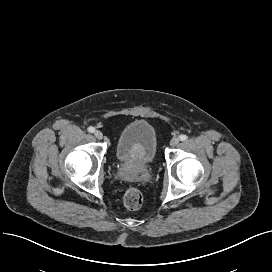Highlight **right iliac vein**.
Returning a JSON list of instances; mask_svg holds the SVG:
<instances>
[{
    "instance_id": "obj_1",
    "label": "right iliac vein",
    "mask_w": 272,
    "mask_h": 272,
    "mask_svg": "<svg viewBox=\"0 0 272 272\" xmlns=\"http://www.w3.org/2000/svg\"><path fill=\"white\" fill-rule=\"evenodd\" d=\"M94 136H95L97 139L101 140V139L103 138V133H102L101 131H99V130H96V131L94 132Z\"/></svg>"
}]
</instances>
